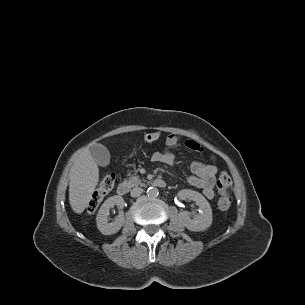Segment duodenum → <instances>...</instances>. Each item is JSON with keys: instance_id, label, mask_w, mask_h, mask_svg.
I'll return each instance as SVG.
<instances>
[{"instance_id": "obj_1", "label": "duodenum", "mask_w": 305, "mask_h": 305, "mask_svg": "<svg viewBox=\"0 0 305 305\" xmlns=\"http://www.w3.org/2000/svg\"><path fill=\"white\" fill-rule=\"evenodd\" d=\"M152 185L155 187L163 188L166 186V181L163 179H155L152 182ZM130 185L128 182H121L117 187V192L119 195L124 196L129 192Z\"/></svg>"}]
</instances>
